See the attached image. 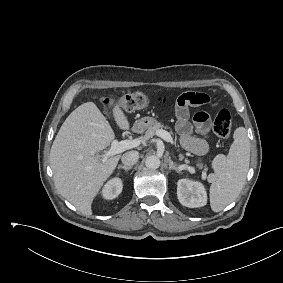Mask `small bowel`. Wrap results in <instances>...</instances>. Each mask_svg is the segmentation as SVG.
Here are the masks:
<instances>
[{"label":"small bowel","mask_w":283,"mask_h":283,"mask_svg":"<svg viewBox=\"0 0 283 283\" xmlns=\"http://www.w3.org/2000/svg\"><path fill=\"white\" fill-rule=\"evenodd\" d=\"M158 102L174 105L177 117L176 130L181 145L198 158L203 157L209 148V115L205 111H199L193 116V123H191L189 108L207 104L209 96L200 92H187L180 95L174 103L163 97H159ZM194 131L198 133V136L193 134Z\"/></svg>","instance_id":"obj_1"}]
</instances>
